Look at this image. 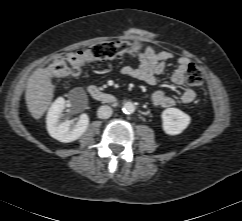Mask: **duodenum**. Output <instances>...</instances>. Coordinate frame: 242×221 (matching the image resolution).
<instances>
[{
    "label": "duodenum",
    "instance_id": "1",
    "mask_svg": "<svg viewBox=\"0 0 242 221\" xmlns=\"http://www.w3.org/2000/svg\"><path fill=\"white\" fill-rule=\"evenodd\" d=\"M88 93L90 94V96L92 98L99 100V101H103L106 103H115L116 102V98L112 94L101 90L97 86H90L88 88Z\"/></svg>",
    "mask_w": 242,
    "mask_h": 221
}]
</instances>
